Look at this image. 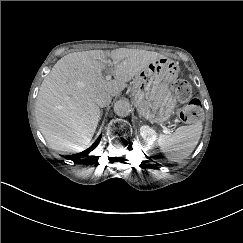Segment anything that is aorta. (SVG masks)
<instances>
[{
    "label": "aorta",
    "mask_w": 243,
    "mask_h": 243,
    "mask_svg": "<svg viewBox=\"0 0 243 243\" xmlns=\"http://www.w3.org/2000/svg\"><path fill=\"white\" fill-rule=\"evenodd\" d=\"M130 104L126 100H119L115 103L114 110L119 116H126L130 112Z\"/></svg>",
    "instance_id": "762f6f07"
}]
</instances>
